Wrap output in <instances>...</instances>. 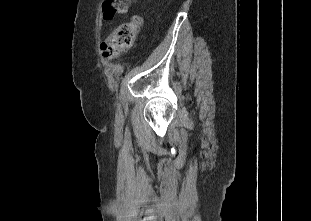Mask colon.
<instances>
[{
	"mask_svg": "<svg viewBox=\"0 0 311 221\" xmlns=\"http://www.w3.org/2000/svg\"><path fill=\"white\" fill-rule=\"evenodd\" d=\"M104 15L100 17L102 22H114L115 17H125L126 6L133 0H107ZM143 16L135 15L129 21L121 23L103 41L101 51L105 57L117 58L129 49L135 42L142 26Z\"/></svg>",
	"mask_w": 311,
	"mask_h": 221,
	"instance_id": "1",
	"label": "colon"
}]
</instances>
